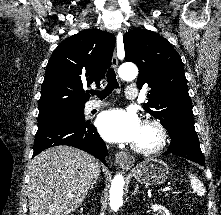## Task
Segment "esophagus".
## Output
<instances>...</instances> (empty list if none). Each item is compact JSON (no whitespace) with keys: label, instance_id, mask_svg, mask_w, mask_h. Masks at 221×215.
I'll use <instances>...</instances> for the list:
<instances>
[{"label":"esophagus","instance_id":"obj_1","mask_svg":"<svg viewBox=\"0 0 221 215\" xmlns=\"http://www.w3.org/2000/svg\"><path fill=\"white\" fill-rule=\"evenodd\" d=\"M112 66L115 70L118 69V59H117V56H116V53L114 52L113 54V57H112ZM116 162L122 166V167H131L135 160L133 158V156L131 155H128L127 153L125 152H118L116 154Z\"/></svg>","mask_w":221,"mask_h":215}]
</instances>
